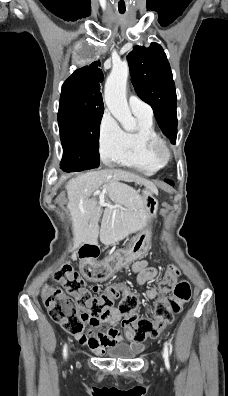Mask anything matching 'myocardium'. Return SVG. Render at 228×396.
<instances>
[{
    "label": "myocardium",
    "instance_id": "f54148a6",
    "mask_svg": "<svg viewBox=\"0 0 228 396\" xmlns=\"http://www.w3.org/2000/svg\"><path fill=\"white\" fill-rule=\"evenodd\" d=\"M145 151L148 158L159 167L165 166L171 160L170 147L166 140L160 136L147 138Z\"/></svg>",
    "mask_w": 228,
    "mask_h": 396
}]
</instances>
